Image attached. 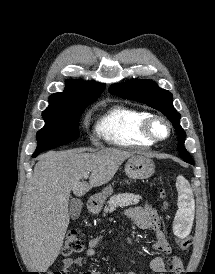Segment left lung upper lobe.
<instances>
[{
  "label": "left lung upper lobe",
  "instance_id": "left-lung-upper-lobe-1",
  "mask_svg": "<svg viewBox=\"0 0 215 274\" xmlns=\"http://www.w3.org/2000/svg\"><path fill=\"white\" fill-rule=\"evenodd\" d=\"M109 92L120 97L144 103L162 112L173 124L178 134V151L187 163L193 160L184 147L185 132L180 126V114L173 106L172 94L159 88L153 81L133 79L128 83H116Z\"/></svg>",
  "mask_w": 215,
  "mask_h": 274
}]
</instances>
